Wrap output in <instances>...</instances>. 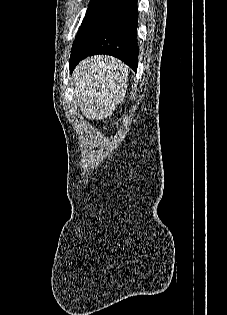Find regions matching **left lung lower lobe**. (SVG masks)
Wrapping results in <instances>:
<instances>
[{"mask_svg": "<svg viewBox=\"0 0 227 315\" xmlns=\"http://www.w3.org/2000/svg\"><path fill=\"white\" fill-rule=\"evenodd\" d=\"M137 0H97L87 11L74 40L70 72L88 56L119 58L135 72L138 64Z\"/></svg>", "mask_w": 227, "mask_h": 315, "instance_id": "0a47b994", "label": "left lung lower lobe"}]
</instances>
